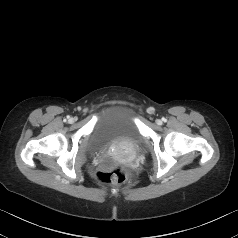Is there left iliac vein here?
<instances>
[{
	"label": "left iliac vein",
	"instance_id": "4c4485c4",
	"mask_svg": "<svg viewBox=\"0 0 238 238\" xmlns=\"http://www.w3.org/2000/svg\"><path fill=\"white\" fill-rule=\"evenodd\" d=\"M156 123H157L158 125H161L162 121H161V120H157Z\"/></svg>",
	"mask_w": 238,
	"mask_h": 238
}]
</instances>
